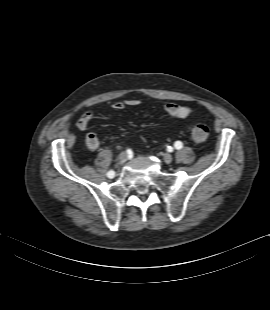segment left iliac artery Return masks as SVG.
<instances>
[{
  "label": "left iliac artery",
  "instance_id": "left-iliac-artery-1",
  "mask_svg": "<svg viewBox=\"0 0 270 310\" xmlns=\"http://www.w3.org/2000/svg\"><path fill=\"white\" fill-rule=\"evenodd\" d=\"M174 146H175L176 149H181L183 147V144L180 141H176Z\"/></svg>",
  "mask_w": 270,
  "mask_h": 310
}]
</instances>
